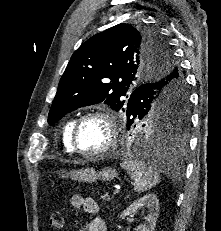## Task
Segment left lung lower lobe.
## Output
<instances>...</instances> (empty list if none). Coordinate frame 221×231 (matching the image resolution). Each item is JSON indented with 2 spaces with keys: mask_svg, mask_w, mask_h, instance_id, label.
<instances>
[{
  "mask_svg": "<svg viewBox=\"0 0 221 231\" xmlns=\"http://www.w3.org/2000/svg\"><path fill=\"white\" fill-rule=\"evenodd\" d=\"M175 74H172L170 78H173ZM164 85L162 82L157 83H149L146 84L144 87H139L133 91L129 98V102H131V105H137L139 104V100H142V97L147 93L151 92L152 90H158ZM183 87L185 86V82L180 83ZM176 84L171 85L170 90H173ZM187 93V90H186ZM188 97V94H187ZM174 106L178 107L180 104V99L176 98L173 100ZM133 113V112H132ZM131 113L130 119H127V128L130 129L132 125L134 124L135 115ZM139 142L145 146V149L138 150V154L141 156L147 157L149 152H151L153 149L161 150L165 154V162H175L176 160L180 159L183 154L186 151L187 148V141L184 133L179 134H164L160 135L159 132H154L153 134H142L139 137ZM160 162V161H158Z\"/></svg>",
  "mask_w": 221,
  "mask_h": 231,
  "instance_id": "1",
  "label": "left lung lower lobe"
}]
</instances>
